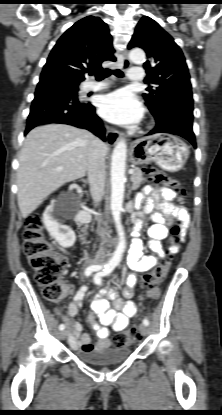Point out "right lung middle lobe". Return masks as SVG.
<instances>
[{
  "label": "right lung middle lobe",
  "mask_w": 222,
  "mask_h": 415,
  "mask_svg": "<svg viewBox=\"0 0 222 415\" xmlns=\"http://www.w3.org/2000/svg\"><path fill=\"white\" fill-rule=\"evenodd\" d=\"M78 85H79L78 83L74 84V91H78Z\"/></svg>",
  "instance_id": "right-lung-middle-lobe-1"
}]
</instances>
